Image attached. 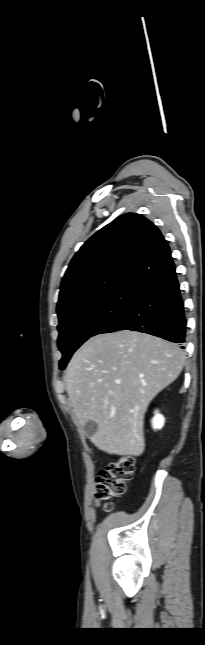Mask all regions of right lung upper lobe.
<instances>
[{"label":"right lung upper lobe","mask_w":205,"mask_h":645,"mask_svg":"<svg viewBox=\"0 0 205 645\" xmlns=\"http://www.w3.org/2000/svg\"><path fill=\"white\" fill-rule=\"evenodd\" d=\"M173 265L160 230L142 215L123 214L95 233L75 254L62 279L57 312L122 284L141 285Z\"/></svg>","instance_id":"cb5924a9"}]
</instances>
